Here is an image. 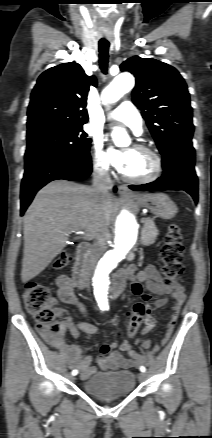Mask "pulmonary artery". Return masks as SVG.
<instances>
[{
    "label": "pulmonary artery",
    "mask_w": 212,
    "mask_h": 438,
    "mask_svg": "<svg viewBox=\"0 0 212 438\" xmlns=\"http://www.w3.org/2000/svg\"><path fill=\"white\" fill-rule=\"evenodd\" d=\"M109 119L127 125L138 134L142 131L141 115L137 108L129 101L122 102L113 110L109 115Z\"/></svg>",
    "instance_id": "obj_1"
}]
</instances>
